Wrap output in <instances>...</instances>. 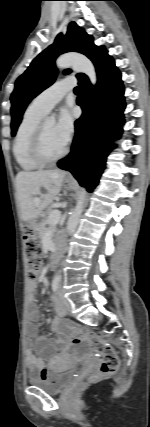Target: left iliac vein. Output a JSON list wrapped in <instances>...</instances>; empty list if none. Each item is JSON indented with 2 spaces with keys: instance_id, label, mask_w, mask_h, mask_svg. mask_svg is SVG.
<instances>
[{
  "instance_id": "left-iliac-vein-1",
  "label": "left iliac vein",
  "mask_w": 150,
  "mask_h": 427,
  "mask_svg": "<svg viewBox=\"0 0 150 427\" xmlns=\"http://www.w3.org/2000/svg\"><path fill=\"white\" fill-rule=\"evenodd\" d=\"M58 296H59V299H60L61 304H62V305H63L67 310L71 311V310H72V304H71V302H70L68 299H66V298L64 297V295H63V293H62L61 289H59Z\"/></svg>"
}]
</instances>
